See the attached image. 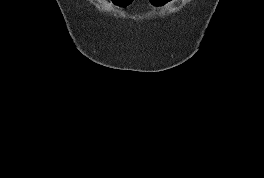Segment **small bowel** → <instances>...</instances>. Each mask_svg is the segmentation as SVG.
Listing matches in <instances>:
<instances>
[{"mask_svg": "<svg viewBox=\"0 0 264 178\" xmlns=\"http://www.w3.org/2000/svg\"><path fill=\"white\" fill-rule=\"evenodd\" d=\"M133 1H134V0H132V2H131L129 5H131V4L133 3ZM172 1H173V0H170V2H172Z\"/></svg>", "mask_w": 264, "mask_h": 178, "instance_id": "1", "label": "small bowel"}]
</instances>
